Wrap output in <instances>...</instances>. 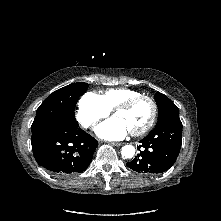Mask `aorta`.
<instances>
[{"instance_id":"1","label":"aorta","mask_w":221,"mask_h":221,"mask_svg":"<svg viewBox=\"0 0 221 221\" xmlns=\"http://www.w3.org/2000/svg\"><path fill=\"white\" fill-rule=\"evenodd\" d=\"M121 154L124 158H132L135 154V148L132 145H125L122 147Z\"/></svg>"}]
</instances>
